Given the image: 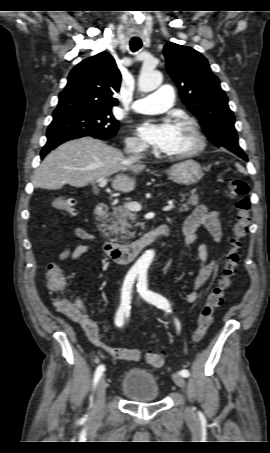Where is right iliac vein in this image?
<instances>
[{"instance_id": "obj_1", "label": "right iliac vein", "mask_w": 270, "mask_h": 453, "mask_svg": "<svg viewBox=\"0 0 270 453\" xmlns=\"http://www.w3.org/2000/svg\"><path fill=\"white\" fill-rule=\"evenodd\" d=\"M107 383L105 377L103 376L98 384L97 390V400L94 407L95 415L101 416L104 410L105 405V396H106Z\"/></svg>"}]
</instances>
